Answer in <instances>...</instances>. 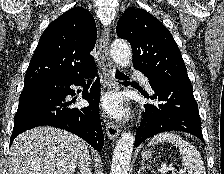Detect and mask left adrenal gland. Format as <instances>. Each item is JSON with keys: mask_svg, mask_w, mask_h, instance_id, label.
Segmentation results:
<instances>
[{"mask_svg": "<svg viewBox=\"0 0 224 174\" xmlns=\"http://www.w3.org/2000/svg\"><path fill=\"white\" fill-rule=\"evenodd\" d=\"M140 165L141 167L138 173H140L142 170H144L147 167V165L144 163V160L141 161Z\"/></svg>", "mask_w": 224, "mask_h": 174, "instance_id": "obj_1", "label": "left adrenal gland"}]
</instances>
